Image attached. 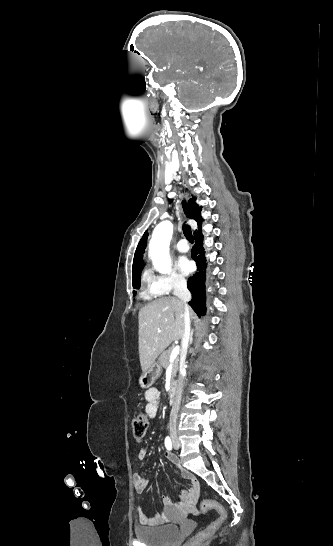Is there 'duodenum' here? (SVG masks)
<instances>
[{
  "label": "duodenum",
  "mask_w": 333,
  "mask_h": 546,
  "mask_svg": "<svg viewBox=\"0 0 333 546\" xmlns=\"http://www.w3.org/2000/svg\"><path fill=\"white\" fill-rule=\"evenodd\" d=\"M169 399L171 404H175L177 400V386L175 383H172L169 389Z\"/></svg>",
  "instance_id": "obj_1"
}]
</instances>
